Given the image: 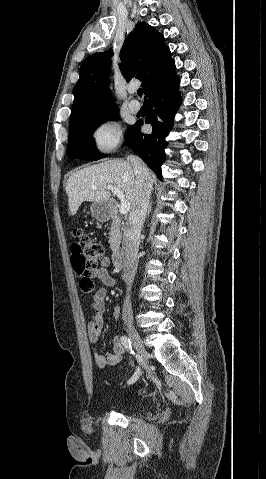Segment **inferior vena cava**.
<instances>
[{
  "label": "inferior vena cava",
  "instance_id": "602c4592",
  "mask_svg": "<svg viewBox=\"0 0 266 479\" xmlns=\"http://www.w3.org/2000/svg\"><path fill=\"white\" fill-rule=\"evenodd\" d=\"M127 160L132 164L136 176L135 200L124 228L121 249L123 256V280L127 285V291H130L138 266L140 234L149 206L152 181L148 169L138 157L129 156ZM122 317L123 319L132 318L129 293H127L124 300Z\"/></svg>",
  "mask_w": 266,
  "mask_h": 479
}]
</instances>
